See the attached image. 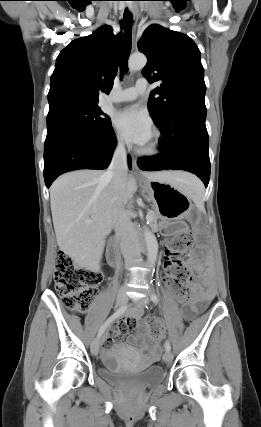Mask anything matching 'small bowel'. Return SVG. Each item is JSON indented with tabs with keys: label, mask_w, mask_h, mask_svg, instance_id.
I'll return each instance as SVG.
<instances>
[{
	"label": "small bowel",
	"mask_w": 261,
	"mask_h": 427,
	"mask_svg": "<svg viewBox=\"0 0 261 427\" xmlns=\"http://www.w3.org/2000/svg\"><path fill=\"white\" fill-rule=\"evenodd\" d=\"M166 256V255H165ZM192 266L197 269H201L193 259L189 262ZM165 270L167 271V258L165 257L164 262ZM202 285L205 287L201 288L200 285L193 287L194 300L193 302L184 309V317L190 319L195 313L201 311L207 302H209L215 294V286L208 274H204L201 279ZM142 314L141 309H135L133 311V318H126L119 320L114 326L111 335L104 341L103 347L108 349L112 347L119 337L126 335L129 331H137L135 335H129L127 337L128 344L133 348V355L136 358L141 356V351L144 350L148 353L149 362H156L159 359V345L158 342L161 336L147 337L143 330V321L140 319Z\"/></svg>",
	"instance_id": "small-bowel-1"
}]
</instances>
